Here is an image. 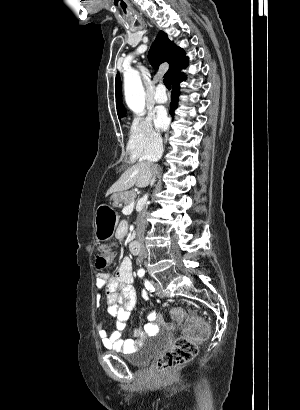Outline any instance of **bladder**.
Listing matches in <instances>:
<instances>
[{
	"mask_svg": "<svg viewBox=\"0 0 300 410\" xmlns=\"http://www.w3.org/2000/svg\"><path fill=\"white\" fill-rule=\"evenodd\" d=\"M157 352L158 345H144L130 355H124L122 360L132 366L143 367L151 361Z\"/></svg>",
	"mask_w": 300,
	"mask_h": 410,
	"instance_id": "obj_1",
	"label": "bladder"
}]
</instances>
